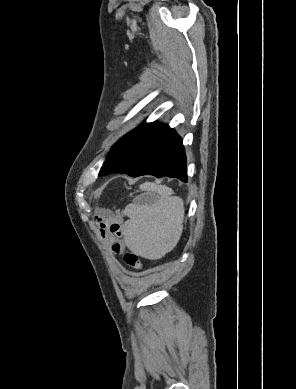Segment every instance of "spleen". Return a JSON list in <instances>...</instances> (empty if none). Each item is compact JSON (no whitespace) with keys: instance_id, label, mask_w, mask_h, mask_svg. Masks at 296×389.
<instances>
[{"instance_id":"1","label":"spleen","mask_w":296,"mask_h":389,"mask_svg":"<svg viewBox=\"0 0 296 389\" xmlns=\"http://www.w3.org/2000/svg\"><path fill=\"white\" fill-rule=\"evenodd\" d=\"M140 190L144 193L126 207L124 239L133 253L156 260L173 250L181 237L184 203L165 185L147 182Z\"/></svg>"}]
</instances>
